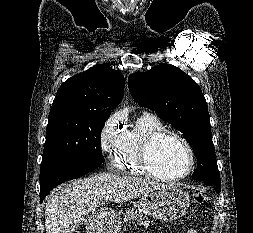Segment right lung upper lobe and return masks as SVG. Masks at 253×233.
I'll list each match as a JSON object with an SVG mask.
<instances>
[{"instance_id":"cb5924a9","label":"right lung upper lobe","mask_w":253,"mask_h":233,"mask_svg":"<svg viewBox=\"0 0 253 233\" xmlns=\"http://www.w3.org/2000/svg\"><path fill=\"white\" fill-rule=\"evenodd\" d=\"M124 86L120 71L96 65L67 79L57 91L51 108H79L111 114L122 100Z\"/></svg>"}]
</instances>
